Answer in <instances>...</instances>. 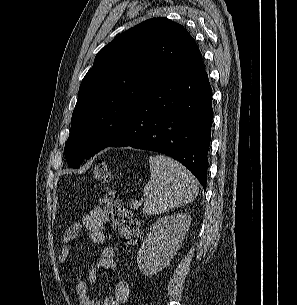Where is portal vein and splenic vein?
<instances>
[{"label": "portal vein and splenic vein", "mask_w": 297, "mask_h": 305, "mask_svg": "<svg viewBox=\"0 0 297 305\" xmlns=\"http://www.w3.org/2000/svg\"><path fill=\"white\" fill-rule=\"evenodd\" d=\"M138 205H139L138 202H135V203L133 204L134 207H138Z\"/></svg>", "instance_id": "1"}]
</instances>
